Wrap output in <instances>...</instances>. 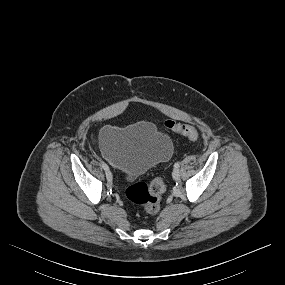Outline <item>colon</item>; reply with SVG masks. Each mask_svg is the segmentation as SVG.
I'll return each instance as SVG.
<instances>
[{"label":"colon","mask_w":285,"mask_h":285,"mask_svg":"<svg viewBox=\"0 0 285 285\" xmlns=\"http://www.w3.org/2000/svg\"><path fill=\"white\" fill-rule=\"evenodd\" d=\"M165 127L191 141L199 138L198 130L191 125L168 120L165 122ZM164 190L165 184L163 180L157 177L149 183L138 182L130 185L126 190V197L130 202L142 206L147 212L156 213L159 209Z\"/></svg>","instance_id":"5ec220e1"}]
</instances>
